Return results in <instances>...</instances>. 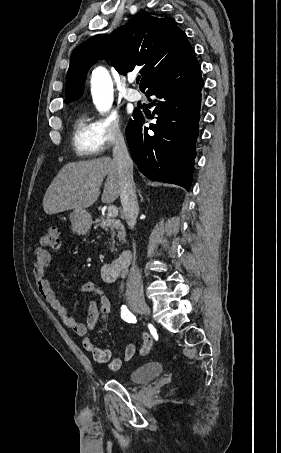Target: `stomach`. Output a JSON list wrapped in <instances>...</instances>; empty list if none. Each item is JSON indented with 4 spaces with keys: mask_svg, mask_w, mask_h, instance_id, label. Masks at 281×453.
<instances>
[{
    "mask_svg": "<svg viewBox=\"0 0 281 453\" xmlns=\"http://www.w3.org/2000/svg\"><path fill=\"white\" fill-rule=\"evenodd\" d=\"M69 218L74 233H77V235H86L88 233L92 218L90 212H87L85 208H74L73 212H70Z\"/></svg>",
    "mask_w": 281,
    "mask_h": 453,
    "instance_id": "obj_1",
    "label": "stomach"
}]
</instances>
